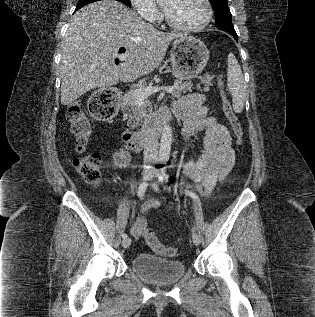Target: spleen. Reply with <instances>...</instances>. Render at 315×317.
<instances>
[{
  "label": "spleen",
  "mask_w": 315,
  "mask_h": 317,
  "mask_svg": "<svg viewBox=\"0 0 315 317\" xmlns=\"http://www.w3.org/2000/svg\"><path fill=\"white\" fill-rule=\"evenodd\" d=\"M227 82L232 95L233 110L240 113L247 99L248 90L241 67L233 53L228 54Z\"/></svg>",
  "instance_id": "obj_1"
}]
</instances>
